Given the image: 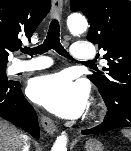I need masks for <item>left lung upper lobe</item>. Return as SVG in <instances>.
Here are the masks:
<instances>
[{"mask_svg":"<svg viewBox=\"0 0 131 151\" xmlns=\"http://www.w3.org/2000/svg\"><path fill=\"white\" fill-rule=\"evenodd\" d=\"M90 21L87 39L105 51V74L88 75L104 99L131 101V1L70 0Z\"/></svg>","mask_w":131,"mask_h":151,"instance_id":"5c2ea615","label":"left lung upper lobe"}]
</instances>
